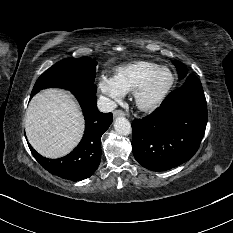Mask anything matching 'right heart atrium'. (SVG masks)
<instances>
[{
    "label": "right heart atrium",
    "instance_id": "1",
    "mask_svg": "<svg viewBox=\"0 0 233 233\" xmlns=\"http://www.w3.org/2000/svg\"><path fill=\"white\" fill-rule=\"evenodd\" d=\"M97 87L110 105L120 102L125 96V92L119 87L114 77L106 74H101L99 76Z\"/></svg>",
    "mask_w": 233,
    "mask_h": 233
}]
</instances>
